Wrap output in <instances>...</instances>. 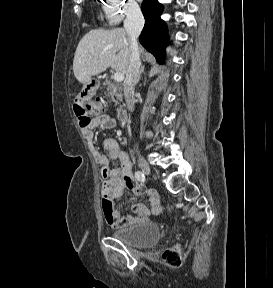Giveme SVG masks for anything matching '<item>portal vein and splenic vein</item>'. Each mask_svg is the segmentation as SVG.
<instances>
[{
	"mask_svg": "<svg viewBox=\"0 0 273 288\" xmlns=\"http://www.w3.org/2000/svg\"><path fill=\"white\" fill-rule=\"evenodd\" d=\"M113 78L116 82H122L124 80V74L121 72H116Z\"/></svg>",
	"mask_w": 273,
	"mask_h": 288,
	"instance_id": "obj_1",
	"label": "portal vein and splenic vein"
}]
</instances>
